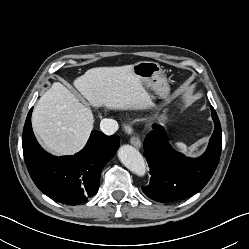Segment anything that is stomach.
Wrapping results in <instances>:
<instances>
[{
	"label": "stomach",
	"mask_w": 249,
	"mask_h": 249,
	"mask_svg": "<svg viewBox=\"0 0 249 249\" xmlns=\"http://www.w3.org/2000/svg\"><path fill=\"white\" fill-rule=\"evenodd\" d=\"M133 73L143 85L162 99H167L170 86L160 65L153 61H140L131 65Z\"/></svg>",
	"instance_id": "1"
}]
</instances>
